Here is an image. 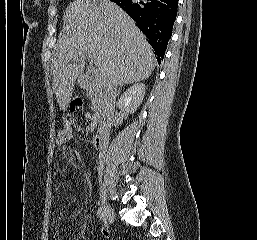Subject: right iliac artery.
<instances>
[{
  "mask_svg": "<svg viewBox=\"0 0 257 240\" xmlns=\"http://www.w3.org/2000/svg\"><path fill=\"white\" fill-rule=\"evenodd\" d=\"M97 217H99V218H103L104 217L103 210H102L101 207H99L98 210H97Z\"/></svg>",
  "mask_w": 257,
  "mask_h": 240,
  "instance_id": "82829eb1",
  "label": "right iliac artery"
}]
</instances>
